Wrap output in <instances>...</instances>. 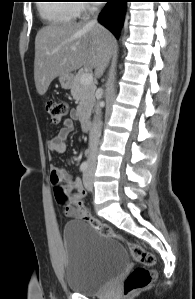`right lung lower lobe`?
Listing matches in <instances>:
<instances>
[{"label":"right lung lower lobe","mask_w":195,"mask_h":299,"mask_svg":"<svg viewBox=\"0 0 195 299\" xmlns=\"http://www.w3.org/2000/svg\"><path fill=\"white\" fill-rule=\"evenodd\" d=\"M127 0H107L105 8L99 15V22L109 29L116 38L124 21Z\"/></svg>","instance_id":"1"}]
</instances>
